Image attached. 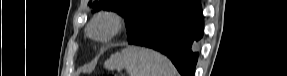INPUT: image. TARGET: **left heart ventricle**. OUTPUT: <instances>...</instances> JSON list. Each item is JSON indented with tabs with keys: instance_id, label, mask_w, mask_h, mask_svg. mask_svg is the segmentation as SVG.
I'll list each match as a JSON object with an SVG mask.
<instances>
[{
	"instance_id": "b2bd125f",
	"label": "left heart ventricle",
	"mask_w": 287,
	"mask_h": 76,
	"mask_svg": "<svg viewBox=\"0 0 287 76\" xmlns=\"http://www.w3.org/2000/svg\"><path fill=\"white\" fill-rule=\"evenodd\" d=\"M97 30H98V31H102V30H103V28H102V27H99Z\"/></svg>"
}]
</instances>
